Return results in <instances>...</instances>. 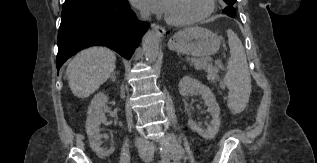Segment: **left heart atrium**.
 Here are the masks:
<instances>
[{"label":"left heart atrium","instance_id":"39dd6f15","mask_svg":"<svg viewBox=\"0 0 317 163\" xmlns=\"http://www.w3.org/2000/svg\"><path fill=\"white\" fill-rule=\"evenodd\" d=\"M171 0H133V3L143 10L156 14H167Z\"/></svg>","mask_w":317,"mask_h":163}]
</instances>
